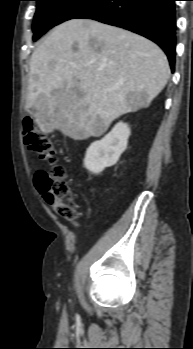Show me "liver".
Masks as SVG:
<instances>
[{
  "mask_svg": "<svg viewBox=\"0 0 193 349\" xmlns=\"http://www.w3.org/2000/svg\"><path fill=\"white\" fill-rule=\"evenodd\" d=\"M170 77L164 52L130 31L88 19L55 27L30 60L26 109L40 130L74 140L101 136L147 108Z\"/></svg>",
  "mask_w": 193,
  "mask_h": 349,
  "instance_id": "obj_1",
  "label": "liver"
}]
</instances>
